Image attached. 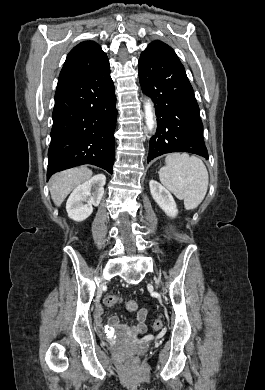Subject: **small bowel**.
<instances>
[{
  "instance_id": "1",
  "label": "small bowel",
  "mask_w": 265,
  "mask_h": 390,
  "mask_svg": "<svg viewBox=\"0 0 265 390\" xmlns=\"http://www.w3.org/2000/svg\"><path fill=\"white\" fill-rule=\"evenodd\" d=\"M102 314H103V309L101 306H98L96 309V322L99 326L102 325ZM147 315H148V312L146 309H140L137 313L138 323L135 326L130 327L129 331L131 333H134V334L145 333L146 329H147L146 324H145L146 319H147ZM110 323L114 327H118L120 325L118 318L115 316L110 318Z\"/></svg>"
}]
</instances>
